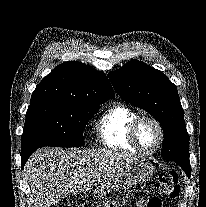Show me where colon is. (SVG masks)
<instances>
[{
    "label": "colon",
    "instance_id": "obj_1",
    "mask_svg": "<svg viewBox=\"0 0 206 207\" xmlns=\"http://www.w3.org/2000/svg\"><path fill=\"white\" fill-rule=\"evenodd\" d=\"M179 190L177 174L174 171H166L159 174L156 182V191L160 196L176 198ZM160 196L151 198L147 203V207H164ZM118 203L119 201L112 200L103 203L100 207H117Z\"/></svg>",
    "mask_w": 206,
    "mask_h": 207
}]
</instances>
